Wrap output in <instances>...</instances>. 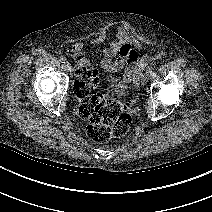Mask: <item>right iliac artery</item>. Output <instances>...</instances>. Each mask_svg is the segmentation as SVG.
Returning a JSON list of instances; mask_svg holds the SVG:
<instances>
[{"label": "right iliac artery", "mask_w": 212, "mask_h": 212, "mask_svg": "<svg viewBox=\"0 0 212 212\" xmlns=\"http://www.w3.org/2000/svg\"><path fill=\"white\" fill-rule=\"evenodd\" d=\"M60 62H61V63H66V58H65L64 56H61V57H60Z\"/></svg>", "instance_id": "obj_1"}]
</instances>
